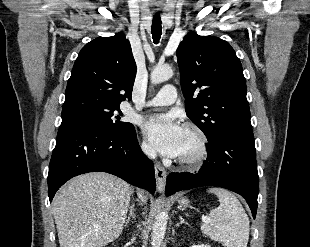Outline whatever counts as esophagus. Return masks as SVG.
I'll list each match as a JSON object with an SVG mask.
<instances>
[{
    "label": "esophagus",
    "mask_w": 310,
    "mask_h": 247,
    "mask_svg": "<svg viewBox=\"0 0 310 247\" xmlns=\"http://www.w3.org/2000/svg\"><path fill=\"white\" fill-rule=\"evenodd\" d=\"M155 177L158 191H164L167 174L165 169L160 164H155Z\"/></svg>",
    "instance_id": "34e87169"
}]
</instances>
